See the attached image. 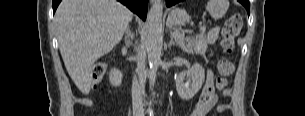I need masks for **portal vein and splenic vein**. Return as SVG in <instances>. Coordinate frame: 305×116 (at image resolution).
I'll list each match as a JSON object with an SVG mask.
<instances>
[{
    "label": "portal vein and splenic vein",
    "mask_w": 305,
    "mask_h": 116,
    "mask_svg": "<svg viewBox=\"0 0 305 116\" xmlns=\"http://www.w3.org/2000/svg\"><path fill=\"white\" fill-rule=\"evenodd\" d=\"M206 28L204 27V26H202L201 27V30H205ZM175 35L177 36V38L178 39H183V37H184V35L183 34H181V33H179V32H177V33H175ZM180 44H184V41H180Z\"/></svg>",
    "instance_id": "18ae733b"
}]
</instances>
